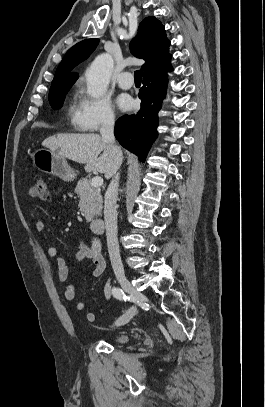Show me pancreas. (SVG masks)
Wrapping results in <instances>:
<instances>
[{
	"label": "pancreas",
	"instance_id": "pancreas-1",
	"mask_svg": "<svg viewBox=\"0 0 265 407\" xmlns=\"http://www.w3.org/2000/svg\"><path fill=\"white\" fill-rule=\"evenodd\" d=\"M75 193L79 195V208L87 221L101 214L103 199L99 187L91 185V181L82 178L78 181Z\"/></svg>",
	"mask_w": 265,
	"mask_h": 407
}]
</instances>
